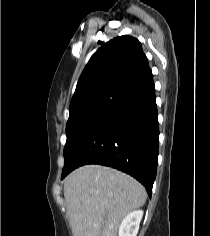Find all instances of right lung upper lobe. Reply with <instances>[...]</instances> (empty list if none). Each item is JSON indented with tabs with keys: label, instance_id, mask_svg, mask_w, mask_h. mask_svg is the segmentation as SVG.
Wrapping results in <instances>:
<instances>
[{
	"label": "right lung upper lobe",
	"instance_id": "obj_1",
	"mask_svg": "<svg viewBox=\"0 0 210 236\" xmlns=\"http://www.w3.org/2000/svg\"><path fill=\"white\" fill-rule=\"evenodd\" d=\"M152 76L141 43L119 36L105 43L85 66L72 97L70 108L101 93L134 86Z\"/></svg>",
	"mask_w": 210,
	"mask_h": 236
}]
</instances>
